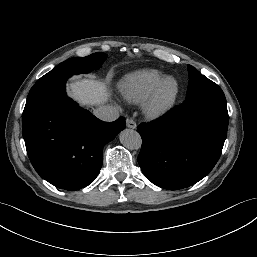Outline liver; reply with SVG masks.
<instances>
[{
	"instance_id": "6515ba94",
	"label": "liver",
	"mask_w": 257,
	"mask_h": 257,
	"mask_svg": "<svg viewBox=\"0 0 257 257\" xmlns=\"http://www.w3.org/2000/svg\"><path fill=\"white\" fill-rule=\"evenodd\" d=\"M69 95L84 106L103 104L110 96L104 82L86 78L71 82Z\"/></svg>"
}]
</instances>
